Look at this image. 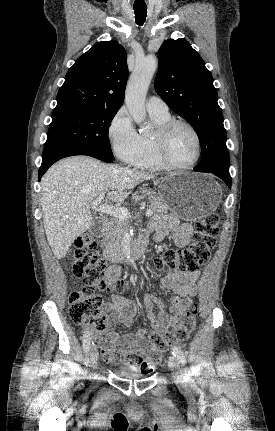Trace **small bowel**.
<instances>
[{"mask_svg":"<svg viewBox=\"0 0 275 431\" xmlns=\"http://www.w3.org/2000/svg\"><path fill=\"white\" fill-rule=\"evenodd\" d=\"M156 241H162L171 235L176 248L183 249L189 242L193 233L188 223L180 224L173 216L156 219L152 224ZM201 274L200 270L194 272H174L165 276L160 283L164 291H171L175 295L170 300L169 312L165 311L163 301L153 295H147L143 301L142 309L147 314L152 328L157 332H164L173 328L191 304V299L197 293L196 282ZM121 275L118 266H111L106 272V280L115 284ZM160 311L155 314L154 306ZM109 311L107 324L104 330L89 333L93 339H99L101 353L109 363H120L135 367L132 360L135 355H142L147 345L148 329L142 328L134 334L119 335L114 327L117 324L130 326L136 315V305L133 301L116 293H111V303L106 305Z\"/></svg>","mask_w":275,"mask_h":431,"instance_id":"small-bowel-1","label":"small bowel"}]
</instances>
